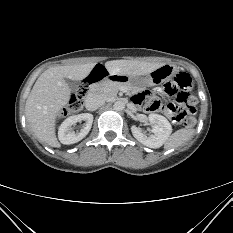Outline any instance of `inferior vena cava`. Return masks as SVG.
<instances>
[{"mask_svg": "<svg viewBox=\"0 0 233 233\" xmlns=\"http://www.w3.org/2000/svg\"><path fill=\"white\" fill-rule=\"evenodd\" d=\"M106 102V98L99 94H89L85 98V107L89 111H95Z\"/></svg>", "mask_w": 233, "mask_h": 233, "instance_id": "inferior-vena-cava-1", "label": "inferior vena cava"}]
</instances>
